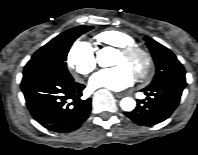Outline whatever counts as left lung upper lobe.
I'll return each mask as SVG.
<instances>
[{
  "instance_id": "5c2ea615",
  "label": "left lung upper lobe",
  "mask_w": 198,
  "mask_h": 155,
  "mask_svg": "<svg viewBox=\"0 0 198 155\" xmlns=\"http://www.w3.org/2000/svg\"><path fill=\"white\" fill-rule=\"evenodd\" d=\"M144 39L156 65V74L148 87L167 81L186 82L185 69L176 56L152 38L145 36Z\"/></svg>"
}]
</instances>
